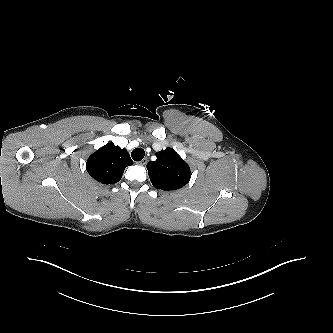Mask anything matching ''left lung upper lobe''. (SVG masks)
Masks as SVG:
<instances>
[{"instance_id": "1", "label": "left lung upper lobe", "mask_w": 333, "mask_h": 333, "mask_svg": "<svg viewBox=\"0 0 333 333\" xmlns=\"http://www.w3.org/2000/svg\"><path fill=\"white\" fill-rule=\"evenodd\" d=\"M156 157L155 161L147 164L149 178L155 188L176 190L189 182L190 168L173 149L161 150Z\"/></svg>"}]
</instances>
